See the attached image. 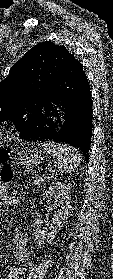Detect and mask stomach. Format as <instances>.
Returning a JSON list of instances; mask_svg holds the SVG:
<instances>
[{
	"label": "stomach",
	"instance_id": "0dacf381",
	"mask_svg": "<svg viewBox=\"0 0 113 279\" xmlns=\"http://www.w3.org/2000/svg\"><path fill=\"white\" fill-rule=\"evenodd\" d=\"M15 160L17 165L32 168L44 160V155L41 150H36L33 147H26L17 151Z\"/></svg>",
	"mask_w": 113,
	"mask_h": 279
}]
</instances>
